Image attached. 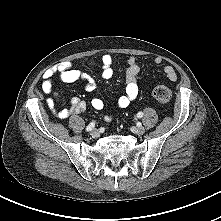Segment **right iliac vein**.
Returning a JSON list of instances; mask_svg holds the SVG:
<instances>
[{"label": "right iliac vein", "mask_w": 221, "mask_h": 221, "mask_svg": "<svg viewBox=\"0 0 221 221\" xmlns=\"http://www.w3.org/2000/svg\"><path fill=\"white\" fill-rule=\"evenodd\" d=\"M90 134H91L93 137H97V136L99 135V132H98L97 129H92V130L90 131Z\"/></svg>", "instance_id": "1"}]
</instances>
